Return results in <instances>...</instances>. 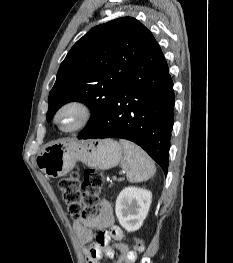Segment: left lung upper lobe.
I'll return each mask as SVG.
<instances>
[{"instance_id": "left-lung-upper-lobe-1", "label": "left lung upper lobe", "mask_w": 233, "mask_h": 263, "mask_svg": "<svg viewBox=\"0 0 233 263\" xmlns=\"http://www.w3.org/2000/svg\"><path fill=\"white\" fill-rule=\"evenodd\" d=\"M154 41L152 33L132 17L92 28L60 65L48 98L47 121L65 103L84 102L92 114L79 138L84 136L105 114L129 72Z\"/></svg>"}]
</instances>
